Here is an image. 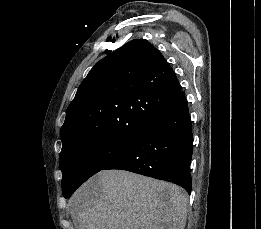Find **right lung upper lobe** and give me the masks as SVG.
<instances>
[{
    "label": "right lung upper lobe",
    "mask_w": 261,
    "mask_h": 229,
    "mask_svg": "<svg viewBox=\"0 0 261 229\" xmlns=\"http://www.w3.org/2000/svg\"><path fill=\"white\" fill-rule=\"evenodd\" d=\"M180 92L160 51L132 40L96 63L79 86L60 131L62 146L86 138L132 141Z\"/></svg>",
    "instance_id": "1"
}]
</instances>
